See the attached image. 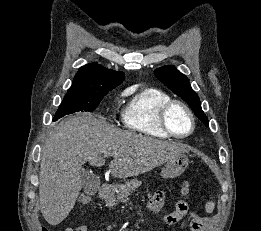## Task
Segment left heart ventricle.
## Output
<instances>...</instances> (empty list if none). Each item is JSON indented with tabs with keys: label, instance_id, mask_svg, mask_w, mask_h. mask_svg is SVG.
<instances>
[{
	"label": "left heart ventricle",
	"instance_id": "1",
	"mask_svg": "<svg viewBox=\"0 0 261 231\" xmlns=\"http://www.w3.org/2000/svg\"><path fill=\"white\" fill-rule=\"evenodd\" d=\"M168 122L171 129L177 134L184 135L191 128L188 113L180 106L173 107L168 114Z\"/></svg>",
	"mask_w": 261,
	"mask_h": 231
}]
</instances>
